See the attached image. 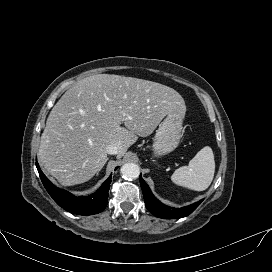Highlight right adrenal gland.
<instances>
[{
    "label": "right adrenal gland",
    "instance_id": "obj_1",
    "mask_svg": "<svg viewBox=\"0 0 272 272\" xmlns=\"http://www.w3.org/2000/svg\"><path fill=\"white\" fill-rule=\"evenodd\" d=\"M107 160H108V158H107ZM104 165H105V164L102 165V167L99 169V171L103 168ZM99 171H98L97 175L99 174Z\"/></svg>",
    "mask_w": 272,
    "mask_h": 272
}]
</instances>
